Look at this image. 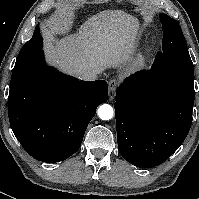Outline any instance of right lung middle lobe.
<instances>
[{
    "instance_id": "dd1d6c3e",
    "label": "right lung middle lobe",
    "mask_w": 199,
    "mask_h": 199,
    "mask_svg": "<svg viewBox=\"0 0 199 199\" xmlns=\"http://www.w3.org/2000/svg\"><path fill=\"white\" fill-rule=\"evenodd\" d=\"M42 46L43 40L39 31V27H37L33 33L32 38L29 41H27L22 47L17 57L14 69L22 65L30 57L40 52L42 50Z\"/></svg>"
}]
</instances>
